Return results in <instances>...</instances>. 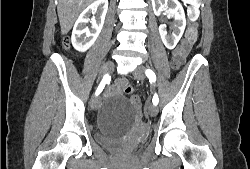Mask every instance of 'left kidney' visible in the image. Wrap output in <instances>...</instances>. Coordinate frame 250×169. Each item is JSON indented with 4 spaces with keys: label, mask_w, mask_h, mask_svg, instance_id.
Returning a JSON list of instances; mask_svg holds the SVG:
<instances>
[{
    "label": "left kidney",
    "mask_w": 250,
    "mask_h": 169,
    "mask_svg": "<svg viewBox=\"0 0 250 169\" xmlns=\"http://www.w3.org/2000/svg\"><path fill=\"white\" fill-rule=\"evenodd\" d=\"M153 10L156 16H160L162 10H166L171 18L175 20L176 32L174 34H167L166 24H160V36L167 48H174L178 40H180L186 26L185 12L179 0H152Z\"/></svg>",
    "instance_id": "5707ae66"
}]
</instances>
